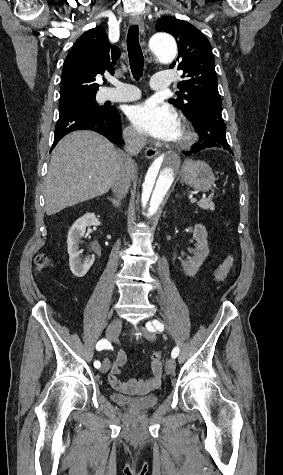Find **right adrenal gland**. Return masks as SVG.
Masks as SVG:
<instances>
[{
	"label": "right adrenal gland",
	"instance_id": "1",
	"mask_svg": "<svg viewBox=\"0 0 283 475\" xmlns=\"http://www.w3.org/2000/svg\"><path fill=\"white\" fill-rule=\"evenodd\" d=\"M107 200H110V202H112L114 208H118V206H120L121 198H116V200H112V198H107Z\"/></svg>",
	"mask_w": 283,
	"mask_h": 475
}]
</instances>
